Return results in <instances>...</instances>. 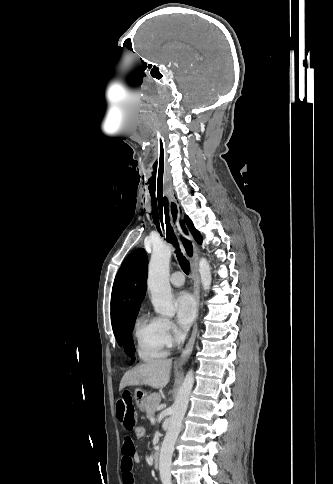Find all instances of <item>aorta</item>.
Here are the masks:
<instances>
[{
  "label": "aorta",
  "instance_id": "762f6f07",
  "mask_svg": "<svg viewBox=\"0 0 333 484\" xmlns=\"http://www.w3.org/2000/svg\"><path fill=\"white\" fill-rule=\"evenodd\" d=\"M172 251L171 245L163 244L154 248L149 262L147 279V287L151 293L154 310L162 316L169 317L174 316L176 311L169 282V264ZM199 273L204 291H209L212 275L210 264L205 258H201L199 261ZM193 384L194 372L191 369L186 374L172 406L169 427L161 446L159 473L162 484H171L174 445L182 429V420L188 407Z\"/></svg>",
  "mask_w": 333,
  "mask_h": 484
}]
</instances>
